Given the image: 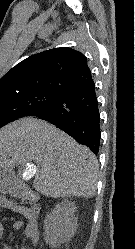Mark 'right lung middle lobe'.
Wrapping results in <instances>:
<instances>
[{"instance_id":"obj_1","label":"right lung middle lobe","mask_w":135,"mask_h":249,"mask_svg":"<svg viewBox=\"0 0 135 249\" xmlns=\"http://www.w3.org/2000/svg\"><path fill=\"white\" fill-rule=\"evenodd\" d=\"M56 91H31L0 96V128L18 118L30 115L34 110L55 100Z\"/></svg>"}]
</instances>
